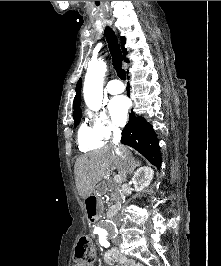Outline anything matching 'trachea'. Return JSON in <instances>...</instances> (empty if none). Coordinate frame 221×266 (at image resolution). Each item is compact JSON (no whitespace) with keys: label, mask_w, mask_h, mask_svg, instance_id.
I'll use <instances>...</instances> for the list:
<instances>
[{"label":"trachea","mask_w":221,"mask_h":266,"mask_svg":"<svg viewBox=\"0 0 221 266\" xmlns=\"http://www.w3.org/2000/svg\"><path fill=\"white\" fill-rule=\"evenodd\" d=\"M104 34L112 57V63L117 72V75L120 79L125 80L126 72L124 69H122L123 56L115 32L110 27H106Z\"/></svg>","instance_id":"obj_1"}]
</instances>
